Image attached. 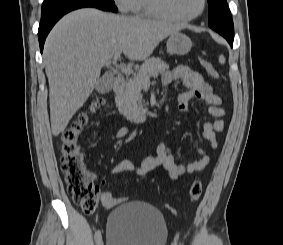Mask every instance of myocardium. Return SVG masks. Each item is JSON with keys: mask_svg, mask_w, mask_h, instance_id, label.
I'll use <instances>...</instances> for the list:
<instances>
[{"mask_svg": "<svg viewBox=\"0 0 283 245\" xmlns=\"http://www.w3.org/2000/svg\"><path fill=\"white\" fill-rule=\"evenodd\" d=\"M148 7L151 11H153L160 18L175 21V22H190L201 16L206 8L207 0H201V7L199 11L189 17H177L172 15L168 9L166 8L165 0H146Z\"/></svg>", "mask_w": 283, "mask_h": 245, "instance_id": "1", "label": "myocardium"}]
</instances>
